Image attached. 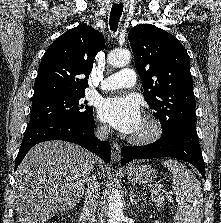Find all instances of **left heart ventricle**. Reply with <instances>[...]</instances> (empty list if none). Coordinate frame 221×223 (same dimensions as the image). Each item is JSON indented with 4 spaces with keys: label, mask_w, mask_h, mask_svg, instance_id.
Wrapping results in <instances>:
<instances>
[{
    "label": "left heart ventricle",
    "mask_w": 221,
    "mask_h": 223,
    "mask_svg": "<svg viewBox=\"0 0 221 223\" xmlns=\"http://www.w3.org/2000/svg\"><path fill=\"white\" fill-rule=\"evenodd\" d=\"M145 130H146V125H145V124L143 123V121H142V123H141L139 129L134 133V135H136V134H141V133H143Z\"/></svg>",
    "instance_id": "left-heart-ventricle-1"
}]
</instances>
